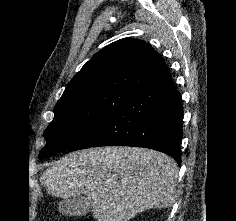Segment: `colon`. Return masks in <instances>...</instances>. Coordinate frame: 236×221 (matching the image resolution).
Returning <instances> with one entry per match:
<instances>
[{"instance_id": "1", "label": "colon", "mask_w": 236, "mask_h": 221, "mask_svg": "<svg viewBox=\"0 0 236 221\" xmlns=\"http://www.w3.org/2000/svg\"><path fill=\"white\" fill-rule=\"evenodd\" d=\"M81 221H91V220H89V219H87V218H84V219H82Z\"/></svg>"}]
</instances>
